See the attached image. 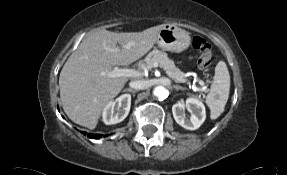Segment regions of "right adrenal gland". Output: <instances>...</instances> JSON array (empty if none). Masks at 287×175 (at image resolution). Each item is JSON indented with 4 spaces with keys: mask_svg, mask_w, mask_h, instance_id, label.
Returning <instances> with one entry per match:
<instances>
[{
    "mask_svg": "<svg viewBox=\"0 0 287 175\" xmlns=\"http://www.w3.org/2000/svg\"><path fill=\"white\" fill-rule=\"evenodd\" d=\"M124 92H132L133 94L136 93L137 91L136 90H133L131 88H127V89H124Z\"/></svg>",
    "mask_w": 287,
    "mask_h": 175,
    "instance_id": "2a0ac1e0",
    "label": "right adrenal gland"
}]
</instances>
